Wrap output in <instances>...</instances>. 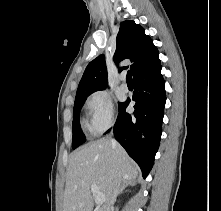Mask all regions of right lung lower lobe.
Segmentation results:
<instances>
[{
	"mask_svg": "<svg viewBox=\"0 0 221 211\" xmlns=\"http://www.w3.org/2000/svg\"><path fill=\"white\" fill-rule=\"evenodd\" d=\"M159 63L134 78L136 102L133 116L125 109L130 99L119 105V114L114 125L115 139L125 148L140 166L143 176L150 172L158 150L166 102L165 82Z\"/></svg>",
	"mask_w": 221,
	"mask_h": 211,
	"instance_id": "right-lung-lower-lobe-1",
	"label": "right lung lower lobe"
}]
</instances>
